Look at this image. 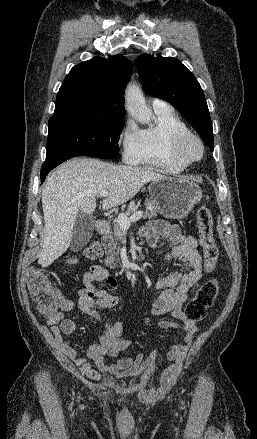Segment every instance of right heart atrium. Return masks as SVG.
<instances>
[{
  "mask_svg": "<svg viewBox=\"0 0 257 439\" xmlns=\"http://www.w3.org/2000/svg\"><path fill=\"white\" fill-rule=\"evenodd\" d=\"M140 131L135 123L128 119L120 134L122 158L127 163H133L139 152Z\"/></svg>",
  "mask_w": 257,
  "mask_h": 439,
  "instance_id": "d8ad5b80",
  "label": "right heart atrium"
}]
</instances>
